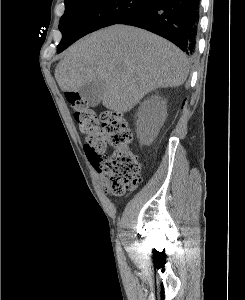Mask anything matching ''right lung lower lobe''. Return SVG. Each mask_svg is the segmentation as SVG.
I'll return each mask as SVG.
<instances>
[{
	"label": "right lung lower lobe",
	"instance_id": "right-lung-lower-lobe-1",
	"mask_svg": "<svg viewBox=\"0 0 245 300\" xmlns=\"http://www.w3.org/2000/svg\"><path fill=\"white\" fill-rule=\"evenodd\" d=\"M199 0H151L116 24L146 29L160 35L187 54L195 51Z\"/></svg>",
	"mask_w": 245,
	"mask_h": 300
}]
</instances>
